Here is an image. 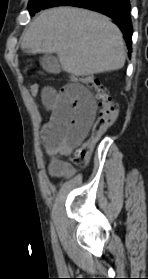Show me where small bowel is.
Wrapping results in <instances>:
<instances>
[{"label":"small bowel","mask_w":148,"mask_h":279,"mask_svg":"<svg viewBox=\"0 0 148 279\" xmlns=\"http://www.w3.org/2000/svg\"><path fill=\"white\" fill-rule=\"evenodd\" d=\"M48 118L41 128V138L48 155H68L87 136L95 116L96 105L91 92L82 84L68 83L59 90L41 92ZM52 177L70 178L74 168L53 158L48 167Z\"/></svg>","instance_id":"small-bowel-1"}]
</instances>
